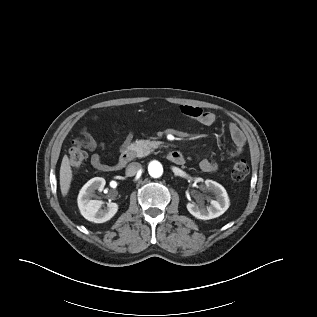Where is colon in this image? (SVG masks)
I'll list each match as a JSON object with an SVG mask.
<instances>
[{
    "instance_id": "1",
    "label": "colon",
    "mask_w": 317,
    "mask_h": 317,
    "mask_svg": "<svg viewBox=\"0 0 317 317\" xmlns=\"http://www.w3.org/2000/svg\"><path fill=\"white\" fill-rule=\"evenodd\" d=\"M86 142L82 139L72 141L69 148V164L73 169L79 168L86 159ZM230 173L234 180L242 181L249 173V166L245 160L235 161L230 167Z\"/></svg>"
}]
</instances>
